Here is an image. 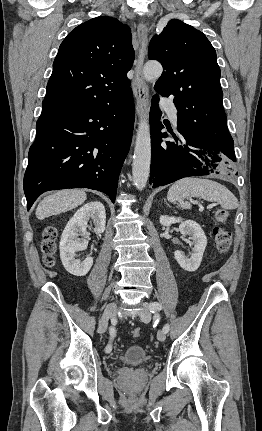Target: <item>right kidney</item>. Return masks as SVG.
Instances as JSON below:
<instances>
[{
	"instance_id": "1",
	"label": "right kidney",
	"mask_w": 262,
	"mask_h": 431,
	"mask_svg": "<svg viewBox=\"0 0 262 431\" xmlns=\"http://www.w3.org/2000/svg\"><path fill=\"white\" fill-rule=\"evenodd\" d=\"M94 223V231L98 234L105 231L106 213L101 202H90L76 211L67 223L60 240V258L64 268L75 276H85L93 265V258L83 261L76 259V252L87 248L88 221ZM84 236L79 238L78 236Z\"/></svg>"
}]
</instances>
